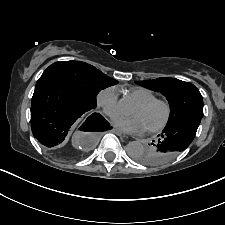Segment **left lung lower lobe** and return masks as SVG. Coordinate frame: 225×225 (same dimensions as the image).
<instances>
[{"instance_id": "left-lung-lower-lobe-1", "label": "left lung lower lobe", "mask_w": 225, "mask_h": 225, "mask_svg": "<svg viewBox=\"0 0 225 225\" xmlns=\"http://www.w3.org/2000/svg\"><path fill=\"white\" fill-rule=\"evenodd\" d=\"M200 117H189L166 126L155 143L154 151L149 155V165H162L175 158L193 141Z\"/></svg>"}]
</instances>
